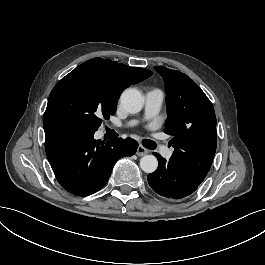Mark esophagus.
<instances>
[{
	"label": "esophagus",
	"instance_id": "esophagus-1",
	"mask_svg": "<svg viewBox=\"0 0 265 265\" xmlns=\"http://www.w3.org/2000/svg\"><path fill=\"white\" fill-rule=\"evenodd\" d=\"M148 152L149 151L145 147H143L141 144H139L136 154L139 157H141V156H144V155L148 154Z\"/></svg>",
	"mask_w": 265,
	"mask_h": 265
}]
</instances>
